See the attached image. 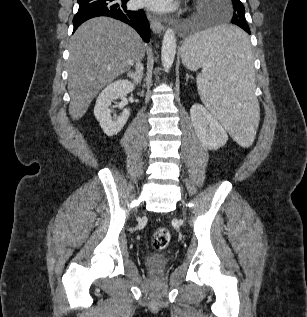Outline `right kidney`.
<instances>
[{
    "instance_id": "ca27d5eb",
    "label": "right kidney",
    "mask_w": 307,
    "mask_h": 317,
    "mask_svg": "<svg viewBox=\"0 0 307 317\" xmlns=\"http://www.w3.org/2000/svg\"><path fill=\"white\" fill-rule=\"evenodd\" d=\"M134 89L133 83L120 79L107 85L97 97L94 115L102 130L108 136H114L119 133L130 116L129 110L124 109L118 117H112L109 108L111 103L116 99L123 98Z\"/></svg>"
}]
</instances>
